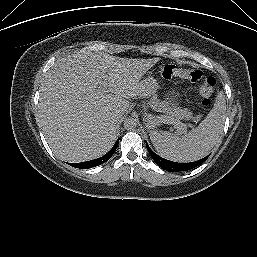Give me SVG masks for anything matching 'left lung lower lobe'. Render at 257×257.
<instances>
[{"instance_id":"0a47b994","label":"left lung lower lobe","mask_w":257,"mask_h":257,"mask_svg":"<svg viewBox=\"0 0 257 257\" xmlns=\"http://www.w3.org/2000/svg\"><path fill=\"white\" fill-rule=\"evenodd\" d=\"M146 146H147V150H148L149 154L151 155V157L155 161V163L162 169L169 171V172L188 171L190 169H193V168L199 166L204 161H206V159L209 157V155H208L207 157H205L203 159H200L195 162H190V163H177V162L169 161L167 159H164V158L158 156L150 149V147L148 146L147 143H146Z\"/></svg>"}]
</instances>
